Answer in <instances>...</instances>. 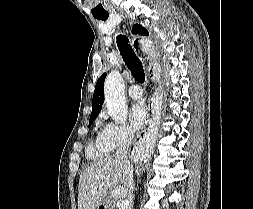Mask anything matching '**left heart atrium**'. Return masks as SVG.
Here are the masks:
<instances>
[{"mask_svg": "<svg viewBox=\"0 0 253 209\" xmlns=\"http://www.w3.org/2000/svg\"><path fill=\"white\" fill-rule=\"evenodd\" d=\"M148 116V111L143 103H136L133 105L131 112L129 114V121L133 129H139Z\"/></svg>", "mask_w": 253, "mask_h": 209, "instance_id": "39dd6f15", "label": "left heart atrium"}]
</instances>
